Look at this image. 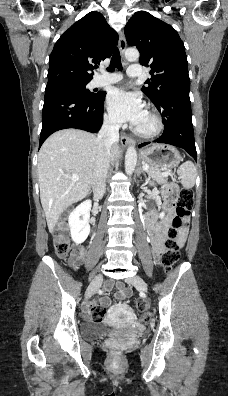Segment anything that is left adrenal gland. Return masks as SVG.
Masks as SVG:
<instances>
[{
    "label": "left adrenal gland",
    "mask_w": 228,
    "mask_h": 396,
    "mask_svg": "<svg viewBox=\"0 0 228 396\" xmlns=\"http://www.w3.org/2000/svg\"><path fill=\"white\" fill-rule=\"evenodd\" d=\"M141 173H143V175H144L145 178H146V173L144 172V170H143L141 167H139V169H138V171H137V174L140 175Z\"/></svg>",
    "instance_id": "obj_1"
}]
</instances>
